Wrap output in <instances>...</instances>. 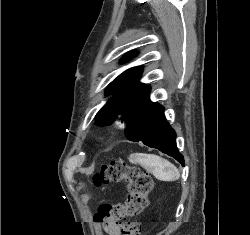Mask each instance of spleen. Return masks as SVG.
<instances>
[{"mask_svg":"<svg viewBox=\"0 0 250 235\" xmlns=\"http://www.w3.org/2000/svg\"><path fill=\"white\" fill-rule=\"evenodd\" d=\"M129 160L139 163L155 178L161 181H176L180 178L177 167L168 160L154 154H132Z\"/></svg>","mask_w":250,"mask_h":235,"instance_id":"3e777b00","label":"spleen"}]
</instances>
